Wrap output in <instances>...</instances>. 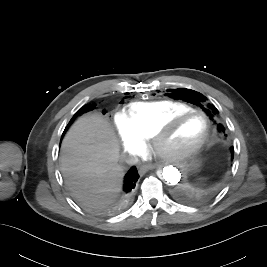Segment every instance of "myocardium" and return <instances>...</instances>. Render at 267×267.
Instances as JSON below:
<instances>
[{"label": "myocardium", "instance_id": "1", "mask_svg": "<svg viewBox=\"0 0 267 267\" xmlns=\"http://www.w3.org/2000/svg\"><path fill=\"white\" fill-rule=\"evenodd\" d=\"M195 114L200 115L204 118L205 131L203 136L195 144L187 148L180 150H173V151H164L162 149V142L169 134V132L172 130V128L176 126L179 122H181L184 118ZM210 131H211V122L208 115L204 111L199 109L186 110L172 115L156 129V131L151 137L152 147L160 154V156H162L164 159L168 161L177 162L185 160L195 155L203 148V146L207 143L209 139Z\"/></svg>", "mask_w": 267, "mask_h": 267}]
</instances>
